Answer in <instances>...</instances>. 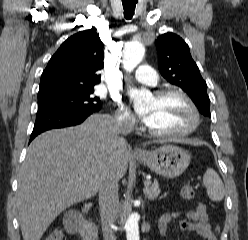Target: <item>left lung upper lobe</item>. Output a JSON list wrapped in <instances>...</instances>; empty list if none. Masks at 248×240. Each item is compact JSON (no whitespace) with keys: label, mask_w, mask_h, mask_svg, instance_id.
Returning a JSON list of instances; mask_svg holds the SVG:
<instances>
[{"label":"left lung upper lobe","mask_w":248,"mask_h":240,"mask_svg":"<svg viewBox=\"0 0 248 240\" xmlns=\"http://www.w3.org/2000/svg\"><path fill=\"white\" fill-rule=\"evenodd\" d=\"M161 75L171 84L184 90L199 111L210 117L207 84L191 57L189 46L174 33H165L155 41Z\"/></svg>","instance_id":"left-lung-upper-lobe-1"}]
</instances>
